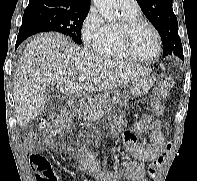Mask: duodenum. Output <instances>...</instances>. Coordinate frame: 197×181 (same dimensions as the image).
<instances>
[{"instance_id": "1", "label": "duodenum", "mask_w": 197, "mask_h": 181, "mask_svg": "<svg viewBox=\"0 0 197 181\" xmlns=\"http://www.w3.org/2000/svg\"><path fill=\"white\" fill-rule=\"evenodd\" d=\"M71 109L73 112L78 113L83 109V103L80 100H73L71 103Z\"/></svg>"}]
</instances>
